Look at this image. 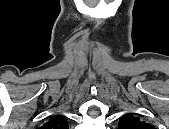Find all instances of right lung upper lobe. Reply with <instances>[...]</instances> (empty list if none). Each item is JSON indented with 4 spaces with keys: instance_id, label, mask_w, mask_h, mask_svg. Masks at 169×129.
<instances>
[{
    "instance_id": "right-lung-upper-lobe-1",
    "label": "right lung upper lobe",
    "mask_w": 169,
    "mask_h": 129,
    "mask_svg": "<svg viewBox=\"0 0 169 129\" xmlns=\"http://www.w3.org/2000/svg\"><path fill=\"white\" fill-rule=\"evenodd\" d=\"M46 129H67L68 128V122L66 119L54 116L49 119L47 123L43 125Z\"/></svg>"
}]
</instances>
